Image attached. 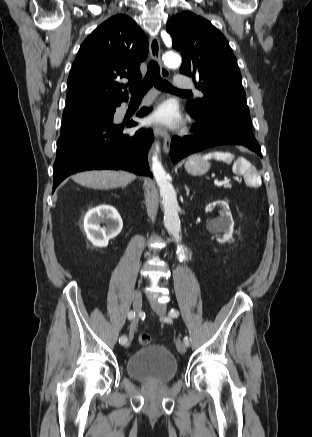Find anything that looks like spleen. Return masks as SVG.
Here are the masks:
<instances>
[{"instance_id": "spleen-1", "label": "spleen", "mask_w": 312, "mask_h": 437, "mask_svg": "<svg viewBox=\"0 0 312 437\" xmlns=\"http://www.w3.org/2000/svg\"><path fill=\"white\" fill-rule=\"evenodd\" d=\"M205 160L209 158H215L216 160L223 161L230 164L234 155L229 152H212L208 153L203 157ZM233 171L235 173L245 174L249 183L253 186H259L261 184V178L253 173L251 169V164L244 158H238L233 165Z\"/></svg>"}]
</instances>
